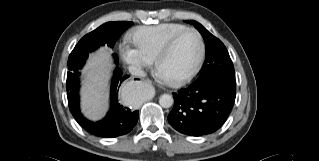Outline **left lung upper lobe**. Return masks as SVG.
Here are the masks:
<instances>
[{"label":"left lung upper lobe","mask_w":319,"mask_h":161,"mask_svg":"<svg viewBox=\"0 0 319 161\" xmlns=\"http://www.w3.org/2000/svg\"><path fill=\"white\" fill-rule=\"evenodd\" d=\"M206 44V56L202 71L196 81L220 80L236 85L234 66L225 45L200 23L191 20Z\"/></svg>","instance_id":"left-lung-upper-lobe-1"}]
</instances>
